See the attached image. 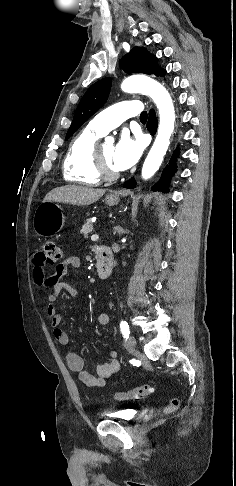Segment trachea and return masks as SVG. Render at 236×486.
Masks as SVG:
<instances>
[{
	"instance_id": "obj_1",
	"label": "trachea",
	"mask_w": 236,
	"mask_h": 486,
	"mask_svg": "<svg viewBox=\"0 0 236 486\" xmlns=\"http://www.w3.org/2000/svg\"><path fill=\"white\" fill-rule=\"evenodd\" d=\"M140 120L141 121H144V120H147V112L144 111L141 115H140Z\"/></svg>"
}]
</instances>
